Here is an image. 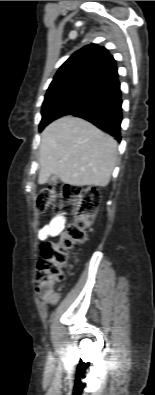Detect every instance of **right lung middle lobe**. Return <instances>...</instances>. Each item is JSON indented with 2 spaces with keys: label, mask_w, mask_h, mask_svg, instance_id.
Instances as JSON below:
<instances>
[{
  "label": "right lung middle lobe",
  "mask_w": 155,
  "mask_h": 395,
  "mask_svg": "<svg viewBox=\"0 0 155 395\" xmlns=\"http://www.w3.org/2000/svg\"><path fill=\"white\" fill-rule=\"evenodd\" d=\"M102 87L85 82H70L48 88L42 105L40 130L53 120L68 115L87 103Z\"/></svg>",
  "instance_id": "dd1d6c3e"
}]
</instances>
